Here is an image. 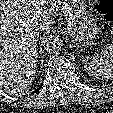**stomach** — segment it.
Instances as JSON below:
<instances>
[{"mask_svg": "<svg viewBox=\"0 0 113 113\" xmlns=\"http://www.w3.org/2000/svg\"><path fill=\"white\" fill-rule=\"evenodd\" d=\"M61 6L72 39L80 47L93 45L101 28L97 17L86 9L85 0H62Z\"/></svg>", "mask_w": 113, "mask_h": 113, "instance_id": "stomach-1", "label": "stomach"}]
</instances>
